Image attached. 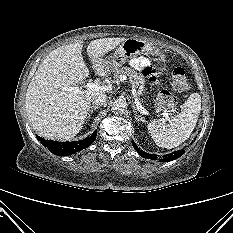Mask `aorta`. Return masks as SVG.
<instances>
[{
    "mask_svg": "<svg viewBox=\"0 0 233 233\" xmlns=\"http://www.w3.org/2000/svg\"><path fill=\"white\" fill-rule=\"evenodd\" d=\"M112 112L121 115L126 112L127 110V103L123 99H117L112 104Z\"/></svg>",
    "mask_w": 233,
    "mask_h": 233,
    "instance_id": "obj_1",
    "label": "aorta"
}]
</instances>
